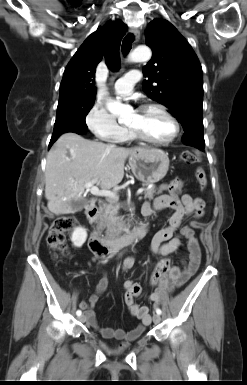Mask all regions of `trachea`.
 I'll use <instances>...</instances> for the list:
<instances>
[{"instance_id": "1", "label": "trachea", "mask_w": 247, "mask_h": 385, "mask_svg": "<svg viewBox=\"0 0 247 385\" xmlns=\"http://www.w3.org/2000/svg\"><path fill=\"white\" fill-rule=\"evenodd\" d=\"M134 41V36L132 33H129L125 36L122 42V52L124 55L128 54L132 48V43Z\"/></svg>"}]
</instances>
